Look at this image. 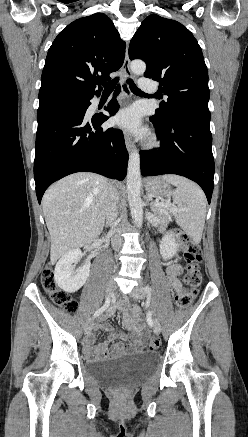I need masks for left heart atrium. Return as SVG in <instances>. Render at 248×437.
<instances>
[{
	"label": "left heart atrium",
	"mask_w": 248,
	"mask_h": 437,
	"mask_svg": "<svg viewBox=\"0 0 248 437\" xmlns=\"http://www.w3.org/2000/svg\"><path fill=\"white\" fill-rule=\"evenodd\" d=\"M114 123L125 130L138 131L140 128V113L135 107L122 110L114 118Z\"/></svg>",
	"instance_id": "obj_1"
}]
</instances>
